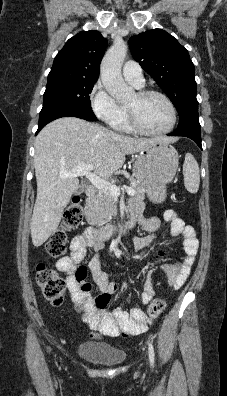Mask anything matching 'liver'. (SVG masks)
Segmentation results:
<instances>
[{"instance_id": "6515ba94", "label": "liver", "mask_w": 227, "mask_h": 396, "mask_svg": "<svg viewBox=\"0 0 227 396\" xmlns=\"http://www.w3.org/2000/svg\"><path fill=\"white\" fill-rule=\"evenodd\" d=\"M171 138H132L76 117L59 118L44 127L36 137L34 167L37 198L31 219V237L41 246L57 229L64 208L79 187L76 177L61 178L79 164L92 165L102 178L119 170L127 154Z\"/></svg>"}]
</instances>
